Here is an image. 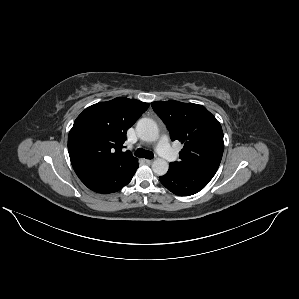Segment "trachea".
Masks as SVG:
<instances>
[{"instance_id":"trachea-1","label":"trachea","mask_w":299,"mask_h":299,"mask_svg":"<svg viewBox=\"0 0 299 299\" xmlns=\"http://www.w3.org/2000/svg\"><path fill=\"white\" fill-rule=\"evenodd\" d=\"M135 156L140 157V158H146V159H152L154 157L153 153L148 151V150H144L142 148H138L135 152Z\"/></svg>"}]
</instances>
